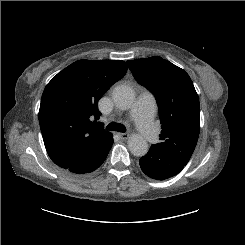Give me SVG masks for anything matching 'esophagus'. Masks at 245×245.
Returning <instances> with one entry per match:
<instances>
[{
  "label": "esophagus",
  "mask_w": 245,
  "mask_h": 245,
  "mask_svg": "<svg viewBox=\"0 0 245 245\" xmlns=\"http://www.w3.org/2000/svg\"><path fill=\"white\" fill-rule=\"evenodd\" d=\"M121 139H127L129 134L128 133H118Z\"/></svg>",
  "instance_id": "1"
}]
</instances>
